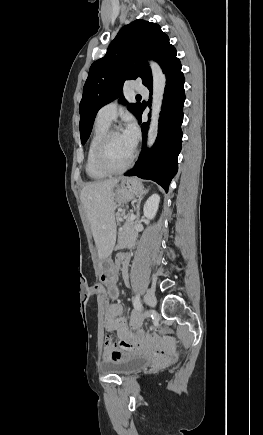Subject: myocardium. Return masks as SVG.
Wrapping results in <instances>:
<instances>
[{"label": "myocardium", "instance_id": "f54148a6", "mask_svg": "<svg viewBox=\"0 0 263 435\" xmlns=\"http://www.w3.org/2000/svg\"><path fill=\"white\" fill-rule=\"evenodd\" d=\"M121 133L120 129L117 127H111L109 128L100 138V140L98 141L96 148H95V152H94V163L96 165V167L106 173V174H119L122 173L124 171H126L134 162V159L136 157V151L133 150L130 158L128 159V161L121 167L118 168H114L109 166L105 159H104V153H105V149L106 146L110 140V138L116 134Z\"/></svg>", "mask_w": 263, "mask_h": 435}]
</instances>
